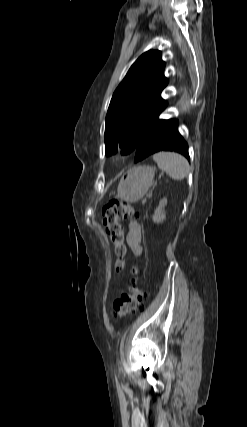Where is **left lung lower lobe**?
<instances>
[{"label":"left lung lower lobe","mask_w":247,"mask_h":427,"mask_svg":"<svg viewBox=\"0 0 247 427\" xmlns=\"http://www.w3.org/2000/svg\"><path fill=\"white\" fill-rule=\"evenodd\" d=\"M177 127V120L157 118L139 142L134 161H142L160 151H175L190 160L188 144L178 132Z\"/></svg>","instance_id":"0a47b994"}]
</instances>
